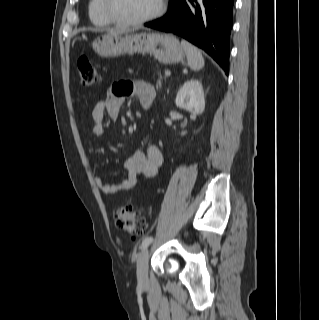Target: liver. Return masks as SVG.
<instances>
[{"label":"liver","mask_w":319,"mask_h":320,"mask_svg":"<svg viewBox=\"0 0 319 320\" xmlns=\"http://www.w3.org/2000/svg\"><path fill=\"white\" fill-rule=\"evenodd\" d=\"M129 29H124V28H115V29H111L109 31V34H119V33H127L129 32Z\"/></svg>","instance_id":"obj_1"}]
</instances>
